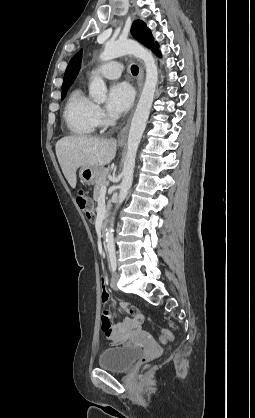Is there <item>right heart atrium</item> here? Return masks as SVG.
Wrapping results in <instances>:
<instances>
[{
	"label": "right heart atrium",
	"instance_id": "obj_1",
	"mask_svg": "<svg viewBox=\"0 0 255 418\" xmlns=\"http://www.w3.org/2000/svg\"><path fill=\"white\" fill-rule=\"evenodd\" d=\"M95 120L97 124H102L105 120L101 108L97 105H95Z\"/></svg>",
	"mask_w": 255,
	"mask_h": 418
}]
</instances>
